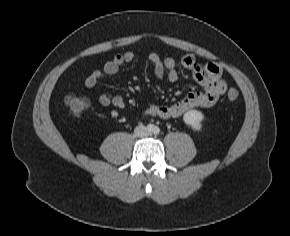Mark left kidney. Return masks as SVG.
Listing matches in <instances>:
<instances>
[{
  "label": "left kidney",
  "mask_w": 290,
  "mask_h": 236,
  "mask_svg": "<svg viewBox=\"0 0 290 236\" xmlns=\"http://www.w3.org/2000/svg\"><path fill=\"white\" fill-rule=\"evenodd\" d=\"M204 119V115L201 111L190 110L186 112L183 116L184 122L191 126L192 129L199 131L202 128L201 122Z\"/></svg>",
  "instance_id": "1"
}]
</instances>
